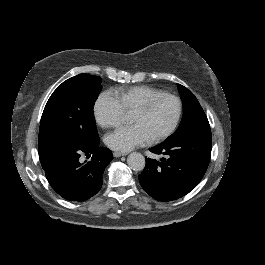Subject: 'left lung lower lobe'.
Wrapping results in <instances>:
<instances>
[{"mask_svg":"<svg viewBox=\"0 0 265 265\" xmlns=\"http://www.w3.org/2000/svg\"><path fill=\"white\" fill-rule=\"evenodd\" d=\"M212 149L211 131H197L150 148L166 155L160 161L146 158L139 175L143 189L159 201L178 199L193 190L204 176Z\"/></svg>","mask_w":265,"mask_h":265,"instance_id":"left-lung-lower-lobe-1","label":"left lung lower lobe"}]
</instances>
